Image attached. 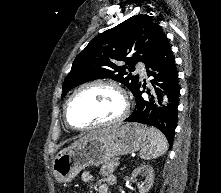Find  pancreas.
Returning <instances> with one entry per match:
<instances>
[{
	"label": "pancreas",
	"mask_w": 221,
	"mask_h": 193,
	"mask_svg": "<svg viewBox=\"0 0 221 193\" xmlns=\"http://www.w3.org/2000/svg\"><path fill=\"white\" fill-rule=\"evenodd\" d=\"M117 162L118 161L116 159H112V160L104 163L101 166L100 174L102 176H108L109 174H112L115 171V168L117 167V165H116Z\"/></svg>",
	"instance_id": "1"
}]
</instances>
